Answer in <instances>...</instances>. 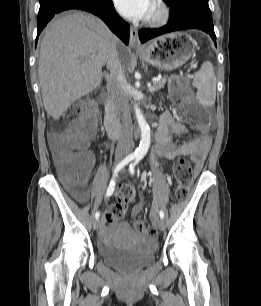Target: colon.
<instances>
[{
    "mask_svg": "<svg viewBox=\"0 0 261 306\" xmlns=\"http://www.w3.org/2000/svg\"><path fill=\"white\" fill-rule=\"evenodd\" d=\"M191 91L179 81H173L170 87V96L174 103L182 105L187 121L199 128L205 129L209 124L208 116L190 101ZM72 121L61 137L62 146L59 149L60 167L62 179L69 185L76 186L86 182L89 175V160L84 149L89 141L94 138L98 122L97 109L89 100L78 101L71 112ZM173 174L176 181V197L185 198L194 178L193 169L189 160L179 158L173 166ZM134 188L129 184L119 187L118 201L111 204L105 211L108 222L122 220L133 201ZM135 230L145 237H152L155 228L142 221L134 222Z\"/></svg>",
    "mask_w": 261,
    "mask_h": 306,
    "instance_id": "1",
    "label": "colon"
}]
</instances>
